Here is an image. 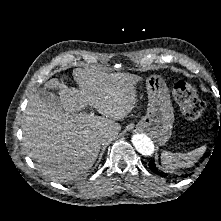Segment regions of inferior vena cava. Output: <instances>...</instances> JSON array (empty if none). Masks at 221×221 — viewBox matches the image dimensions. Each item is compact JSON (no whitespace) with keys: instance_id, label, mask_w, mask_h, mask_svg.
Segmentation results:
<instances>
[{"instance_id":"obj_1","label":"inferior vena cava","mask_w":221,"mask_h":221,"mask_svg":"<svg viewBox=\"0 0 221 221\" xmlns=\"http://www.w3.org/2000/svg\"><path fill=\"white\" fill-rule=\"evenodd\" d=\"M102 137L105 139H108L111 137V135L109 133L105 132V133H102Z\"/></svg>"}]
</instances>
